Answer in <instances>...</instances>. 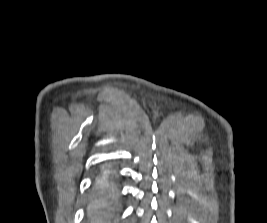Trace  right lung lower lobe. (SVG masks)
Listing matches in <instances>:
<instances>
[{"instance_id":"98d812e1","label":"right lung lower lobe","mask_w":267,"mask_h":223,"mask_svg":"<svg viewBox=\"0 0 267 223\" xmlns=\"http://www.w3.org/2000/svg\"><path fill=\"white\" fill-rule=\"evenodd\" d=\"M116 180H117L116 169L113 166L105 165L98 177L99 186L105 187L108 184L114 183Z\"/></svg>"}]
</instances>
